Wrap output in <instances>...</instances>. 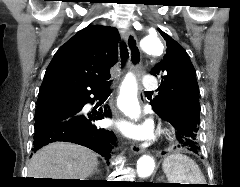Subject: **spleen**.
<instances>
[{
    "instance_id": "spleen-1",
    "label": "spleen",
    "mask_w": 240,
    "mask_h": 187,
    "mask_svg": "<svg viewBox=\"0 0 240 187\" xmlns=\"http://www.w3.org/2000/svg\"><path fill=\"white\" fill-rule=\"evenodd\" d=\"M163 171L170 183L205 184L198 165L182 154H172L163 162Z\"/></svg>"
}]
</instances>
